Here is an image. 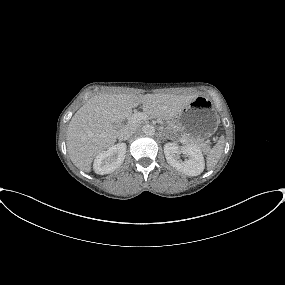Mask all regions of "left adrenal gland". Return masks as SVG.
I'll list each match as a JSON object with an SVG mask.
<instances>
[{
    "instance_id": "a2214340",
    "label": "left adrenal gland",
    "mask_w": 285,
    "mask_h": 285,
    "mask_svg": "<svg viewBox=\"0 0 285 285\" xmlns=\"http://www.w3.org/2000/svg\"><path fill=\"white\" fill-rule=\"evenodd\" d=\"M162 135L165 137L164 139H168L169 136L167 135V133L165 131H161Z\"/></svg>"
}]
</instances>
